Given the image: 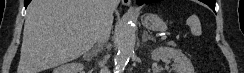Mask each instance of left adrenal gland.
<instances>
[{"instance_id":"a2214340","label":"left adrenal gland","mask_w":244,"mask_h":73,"mask_svg":"<svg viewBox=\"0 0 244 73\" xmlns=\"http://www.w3.org/2000/svg\"><path fill=\"white\" fill-rule=\"evenodd\" d=\"M148 40L155 41L154 37L148 34L146 30H144L143 35H142V42H146Z\"/></svg>"}]
</instances>
